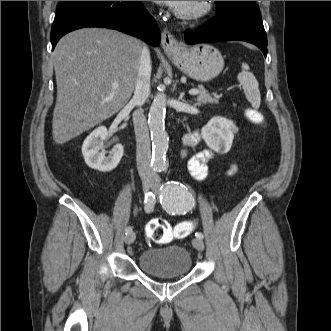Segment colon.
<instances>
[{
    "label": "colon",
    "mask_w": 331,
    "mask_h": 331,
    "mask_svg": "<svg viewBox=\"0 0 331 331\" xmlns=\"http://www.w3.org/2000/svg\"><path fill=\"white\" fill-rule=\"evenodd\" d=\"M248 117L254 123L261 124L263 122L262 115L255 110L248 111ZM192 231L193 224L191 222H181L172 227L167 221L160 218L151 220L146 227L147 237L160 244L167 243L173 238L187 237Z\"/></svg>",
    "instance_id": "obj_1"
}]
</instances>
